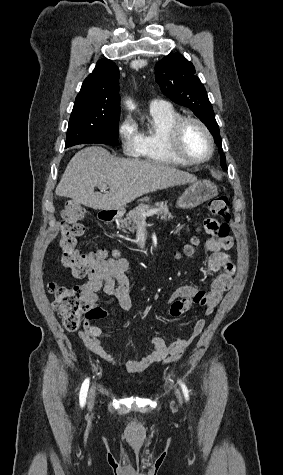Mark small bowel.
Masks as SVG:
<instances>
[{"instance_id": "small-bowel-1", "label": "small bowel", "mask_w": 283, "mask_h": 475, "mask_svg": "<svg viewBox=\"0 0 283 475\" xmlns=\"http://www.w3.org/2000/svg\"><path fill=\"white\" fill-rule=\"evenodd\" d=\"M223 226L221 219L213 220L206 218L203 221V229L207 232L208 238L205 248L210 253L207 260V270L215 274L210 289L205 291L190 285L177 286L171 296L175 298L176 293H194L195 304L204 309V315L199 317L192 328L190 336H179L174 342L167 344L164 336L156 335L150 339L153 348L151 354L138 358L120 362L115 359L105 348L102 341L104 332L99 326H107L109 323L106 317L108 313L100 306L99 292L113 297L123 310H129L132 306L129 282L126 271L129 262L122 258H111L104 260L98 268L89 274L83 285V293L90 309L86 311L82 330L79 337L95 356L103 359L113 367L131 374H139L155 363L165 361L175 363L181 360L193 341L202 333L206 325V317L211 315L223 295L231 288L235 274V264L231 256L225 252L226 249L234 247L233 239H224L221 236L220 228ZM170 315L178 318L181 315Z\"/></svg>"}]
</instances>
